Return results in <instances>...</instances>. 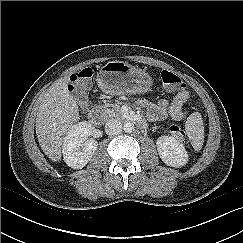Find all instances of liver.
<instances>
[{"instance_id":"6515ba94","label":"liver","mask_w":243,"mask_h":243,"mask_svg":"<svg viewBox=\"0 0 243 243\" xmlns=\"http://www.w3.org/2000/svg\"><path fill=\"white\" fill-rule=\"evenodd\" d=\"M68 82L65 77L49 87L36 117L39 145L53 162L61 160L63 136L79 119L78 105L67 89Z\"/></svg>"}]
</instances>
